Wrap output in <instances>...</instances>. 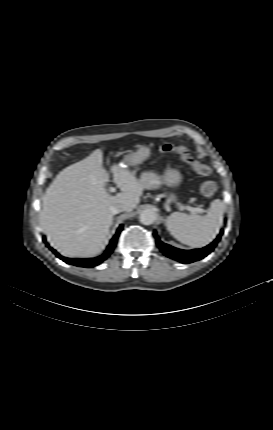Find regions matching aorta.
I'll return each instance as SVG.
<instances>
[{
  "instance_id": "762f6f07",
  "label": "aorta",
  "mask_w": 273,
  "mask_h": 430,
  "mask_svg": "<svg viewBox=\"0 0 273 430\" xmlns=\"http://www.w3.org/2000/svg\"><path fill=\"white\" fill-rule=\"evenodd\" d=\"M157 219V213L153 209H146L140 213L139 220L144 225H151Z\"/></svg>"
}]
</instances>
